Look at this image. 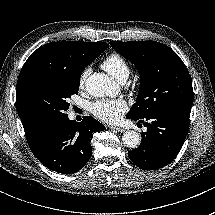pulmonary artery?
Instances as JSON below:
<instances>
[{
    "mask_svg": "<svg viewBox=\"0 0 215 215\" xmlns=\"http://www.w3.org/2000/svg\"><path fill=\"white\" fill-rule=\"evenodd\" d=\"M125 80H126V79H122V80H120V82L123 83V82H125Z\"/></svg>",
    "mask_w": 215,
    "mask_h": 215,
    "instance_id": "e3ab8cb5",
    "label": "pulmonary artery"
}]
</instances>
